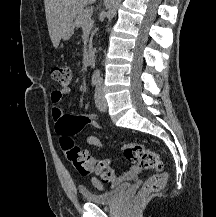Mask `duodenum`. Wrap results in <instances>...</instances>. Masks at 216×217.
Returning <instances> with one entry per match:
<instances>
[{
    "label": "duodenum",
    "instance_id": "duodenum-1",
    "mask_svg": "<svg viewBox=\"0 0 216 217\" xmlns=\"http://www.w3.org/2000/svg\"><path fill=\"white\" fill-rule=\"evenodd\" d=\"M88 59L91 66L95 64L96 55H95V48L93 46H90L88 48Z\"/></svg>",
    "mask_w": 216,
    "mask_h": 217
}]
</instances>
